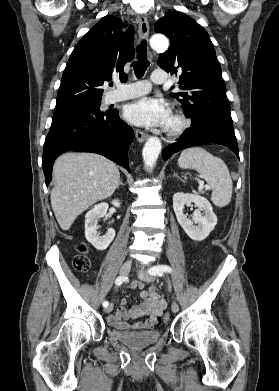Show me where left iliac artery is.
<instances>
[{
	"label": "left iliac artery",
	"mask_w": 279,
	"mask_h": 391,
	"mask_svg": "<svg viewBox=\"0 0 279 391\" xmlns=\"http://www.w3.org/2000/svg\"><path fill=\"white\" fill-rule=\"evenodd\" d=\"M171 273L172 269L168 265H157L149 269V274L163 276L164 273Z\"/></svg>",
	"instance_id": "44dca946"
}]
</instances>
